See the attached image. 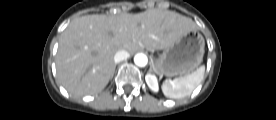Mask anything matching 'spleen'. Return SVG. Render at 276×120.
Here are the masks:
<instances>
[{
	"mask_svg": "<svg viewBox=\"0 0 276 120\" xmlns=\"http://www.w3.org/2000/svg\"><path fill=\"white\" fill-rule=\"evenodd\" d=\"M205 66L183 77L175 78L162 84V92L168 98L179 99L186 97L201 83L204 77Z\"/></svg>",
	"mask_w": 276,
	"mask_h": 120,
	"instance_id": "3e777b00",
	"label": "spleen"
}]
</instances>
